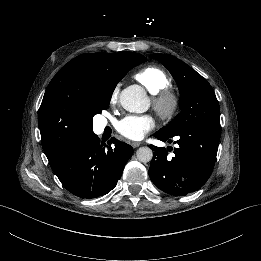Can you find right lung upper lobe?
<instances>
[{"label":"right lung upper lobe","mask_w":261,"mask_h":261,"mask_svg":"<svg viewBox=\"0 0 261 261\" xmlns=\"http://www.w3.org/2000/svg\"><path fill=\"white\" fill-rule=\"evenodd\" d=\"M126 52L79 55L64 65L44 94L38 124L48 160L92 133L90 91L100 72L110 68Z\"/></svg>","instance_id":"1"}]
</instances>
